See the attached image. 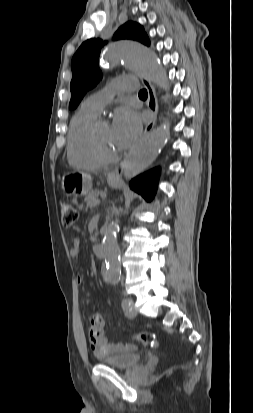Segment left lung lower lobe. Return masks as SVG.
I'll use <instances>...</instances> for the list:
<instances>
[{"mask_svg":"<svg viewBox=\"0 0 253 413\" xmlns=\"http://www.w3.org/2000/svg\"><path fill=\"white\" fill-rule=\"evenodd\" d=\"M159 179V169L150 170L130 182V187L141 194L147 201H151L156 192Z\"/></svg>","mask_w":253,"mask_h":413,"instance_id":"1","label":"left lung lower lobe"}]
</instances>
